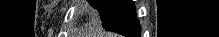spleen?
I'll return each mask as SVG.
<instances>
[{
    "label": "spleen",
    "mask_w": 219,
    "mask_h": 37,
    "mask_svg": "<svg viewBox=\"0 0 219 37\" xmlns=\"http://www.w3.org/2000/svg\"><path fill=\"white\" fill-rule=\"evenodd\" d=\"M107 37H117V36H116V35H114V36H113V35H109V36H107Z\"/></svg>",
    "instance_id": "1"
}]
</instances>
